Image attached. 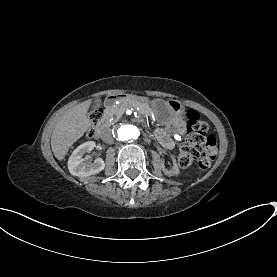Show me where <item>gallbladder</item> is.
Masks as SVG:
<instances>
[{"mask_svg":"<svg viewBox=\"0 0 277 277\" xmlns=\"http://www.w3.org/2000/svg\"><path fill=\"white\" fill-rule=\"evenodd\" d=\"M96 103H97V104H100V103H101V100H100V99H97V100H96Z\"/></svg>","mask_w":277,"mask_h":277,"instance_id":"gallbladder-1","label":"gallbladder"}]
</instances>
